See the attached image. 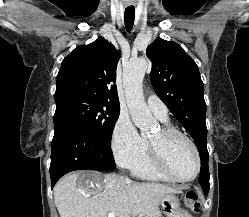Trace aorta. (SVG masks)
I'll list each match as a JSON object with an SVG mask.
<instances>
[{
	"label": "aorta",
	"mask_w": 249,
	"mask_h": 217,
	"mask_svg": "<svg viewBox=\"0 0 249 217\" xmlns=\"http://www.w3.org/2000/svg\"><path fill=\"white\" fill-rule=\"evenodd\" d=\"M148 63L145 59L139 58L131 61L124 69L123 81L127 105L134 124L142 133H148L156 121L148 109L144 96L142 83Z\"/></svg>",
	"instance_id": "762f6f07"
}]
</instances>
